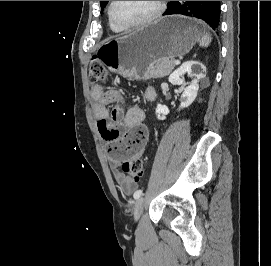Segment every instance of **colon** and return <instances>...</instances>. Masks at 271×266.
Masks as SVG:
<instances>
[{"instance_id": "5ec220e1", "label": "colon", "mask_w": 271, "mask_h": 266, "mask_svg": "<svg viewBox=\"0 0 271 266\" xmlns=\"http://www.w3.org/2000/svg\"><path fill=\"white\" fill-rule=\"evenodd\" d=\"M106 77L105 68L98 62L90 64L88 78L90 82H98ZM122 170L129 178L135 182L140 181L143 175V163L139 159H131L122 164Z\"/></svg>"}]
</instances>
